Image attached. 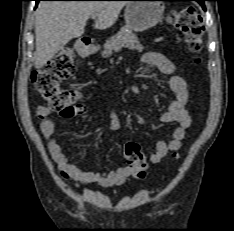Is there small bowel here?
Segmentation results:
<instances>
[{
    "label": "small bowel",
    "mask_w": 234,
    "mask_h": 231,
    "mask_svg": "<svg viewBox=\"0 0 234 231\" xmlns=\"http://www.w3.org/2000/svg\"><path fill=\"white\" fill-rule=\"evenodd\" d=\"M147 64L157 67L162 73L169 76V87L173 93V100L167 104L166 110L159 119L163 123L177 122L178 126L172 133L170 140H159L155 145V151L150 157L152 164H159L163 158L172 152H177L182 141L192 125V118L186 106L189 99V92L185 80L174 74L175 65L163 54L152 52L144 57ZM88 113V107L84 104H77L69 110L61 112L63 117L84 116ZM51 110L46 106H38L36 116L40 130L47 142L49 152L57 164L61 177L80 184L96 183L103 187L122 185L134 172L130 166H119L109 171H87L71 162L70 157L63 151L55 134V124L50 118ZM120 127V114L115 106L110 108V129L118 130Z\"/></svg>",
    "instance_id": "obj_1"
}]
</instances>
